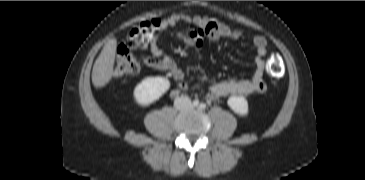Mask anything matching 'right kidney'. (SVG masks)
I'll return each mask as SVG.
<instances>
[{"mask_svg": "<svg viewBox=\"0 0 365 180\" xmlns=\"http://www.w3.org/2000/svg\"><path fill=\"white\" fill-rule=\"evenodd\" d=\"M170 88V81L164 77H147L134 89L133 97L140 106H148L158 100Z\"/></svg>", "mask_w": 365, "mask_h": 180, "instance_id": "ca27d5eb", "label": "right kidney"}]
</instances>
